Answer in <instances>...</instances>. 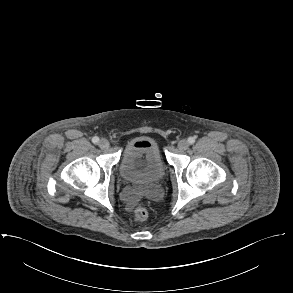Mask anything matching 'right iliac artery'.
I'll list each match as a JSON object with an SVG mask.
<instances>
[{
    "mask_svg": "<svg viewBox=\"0 0 293 293\" xmlns=\"http://www.w3.org/2000/svg\"><path fill=\"white\" fill-rule=\"evenodd\" d=\"M92 142H93L94 144H98V142H99V138H98L97 136L93 137V138H92Z\"/></svg>",
    "mask_w": 293,
    "mask_h": 293,
    "instance_id": "right-iliac-artery-1",
    "label": "right iliac artery"
}]
</instances>
